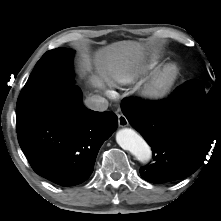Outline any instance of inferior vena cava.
I'll return each instance as SVG.
<instances>
[{
  "mask_svg": "<svg viewBox=\"0 0 221 221\" xmlns=\"http://www.w3.org/2000/svg\"><path fill=\"white\" fill-rule=\"evenodd\" d=\"M108 104V101L99 95H93L85 100L86 107L94 111H105Z\"/></svg>",
  "mask_w": 221,
  "mask_h": 221,
  "instance_id": "inferior-vena-cava-1",
  "label": "inferior vena cava"
}]
</instances>
